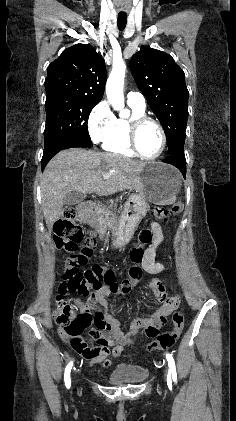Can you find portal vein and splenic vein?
Listing matches in <instances>:
<instances>
[{
	"instance_id": "1",
	"label": "portal vein and splenic vein",
	"mask_w": 236,
	"mask_h": 421,
	"mask_svg": "<svg viewBox=\"0 0 236 421\" xmlns=\"http://www.w3.org/2000/svg\"><path fill=\"white\" fill-rule=\"evenodd\" d=\"M103 178H110V174H103Z\"/></svg>"
}]
</instances>
